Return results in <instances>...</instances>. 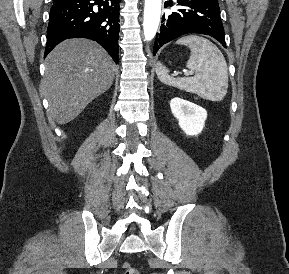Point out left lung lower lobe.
Segmentation results:
<instances>
[{
    "mask_svg": "<svg viewBox=\"0 0 289 274\" xmlns=\"http://www.w3.org/2000/svg\"><path fill=\"white\" fill-rule=\"evenodd\" d=\"M177 3L181 9L162 16L160 33L154 42V55L164 44L189 33L212 36L226 48L218 0H177ZM168 5L173 3L168 2Z\"/></svg>",
    "mask_w": 289,
    "mask_h": 274,
    "instance_id": "obj_1",
    "label": "left lung lower lobe"
}]
</instances>
